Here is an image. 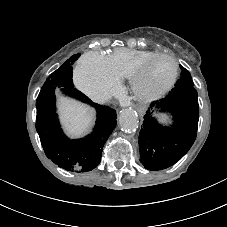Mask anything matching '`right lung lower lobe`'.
Returning <instances> with one entry per match:
<instances>
[{
    "label": "right lung lower lobe",
    "mask_w": 227,
    "mask_h": 227,
    "mask_svg": "<svg viewBox=\"0 0 227 227\" xmlns=\"http://www.w3.org/2000/svg\"><path fill=\"white\" fill-rule=\"evenodd\" d=\"M61 90L95 107L96 125L94 131L85 138L78 140L67 138L60 128L56 114L55 87H44L36 101V130L42 147L46 156L59 167L75 172L90 171L100 163L103 146L116 126V112L107 106L92 103L74 87H64Z\"/></svg>",
    "instance_id": "98d812e1"
}]
</instances>
